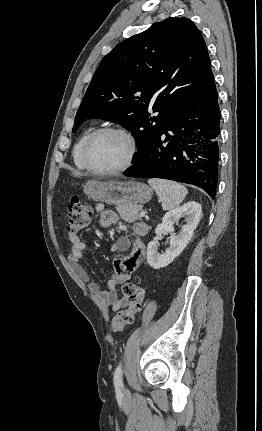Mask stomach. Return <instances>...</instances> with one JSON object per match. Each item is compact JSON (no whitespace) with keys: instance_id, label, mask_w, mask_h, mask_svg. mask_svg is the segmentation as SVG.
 I'll return each mask as SVG.
<instances>
[{"instance_id":"0dacf381","label":"stomach","mask_w":262,"mask_h":431,"mask_svg":"<svg viewBox=\"0 0 262 431\" xmlns=\"http://www.w3.org/2000/svg\"><path fill=\"white\" fill-rule=\"evenodd\" d=\"M83 191L94 201L118 206L144 204L151 200L153 194L149 186L134 180L125 182L91 180L86 182Z\"/></svg>"}]
</instances>
